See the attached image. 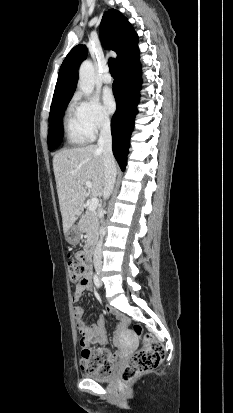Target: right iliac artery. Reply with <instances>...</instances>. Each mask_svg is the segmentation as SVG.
<instances>
[{
    "instance_id": "82829eb1",
    "label": "right iliac artery",
    "mask_w": 233,
    "mask_h": 413,
    "mask_svg": "<svg viewBox=\"0 0 233 413\" xmlns=\"http://www.w3.org/2000/svg\"><path fill=\"white\" fill-rule=\"evenodd\" d=\"M94 284L96 285L97 288L100 287V280L96 274L94 275Z\"/></svg>"
}]
</instances>
